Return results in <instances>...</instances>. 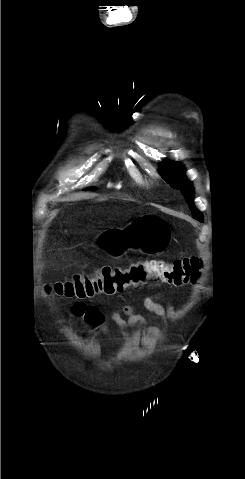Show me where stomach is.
Instances as JSON below:
<instances>
[{"label":"stomach","instance_id":"0dacf381","mask_svg":"<svg viewBox=\"0 0 245 479\" xmlns=\"http://www.w3.org/2000/svg\"><path fill=\"white\" fill-rule=\"evenodd\" d=\"M171 240L170 226L155 214L143 215L123 229L103 232L96 240L109 256L120 258L128 250L136 249L148 255L162 252Z\"/></svg>","mask_w":245,"mask_h":479}]
</instances>
